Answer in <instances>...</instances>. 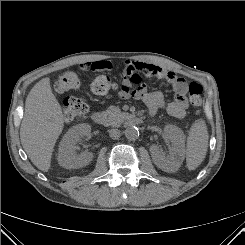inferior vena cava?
<instances>
[{
	"mask_svg": "<svg viewBox=\"0 0 245 245\" xmlns=\"http://www.w3.org/2000/svg\"><path fill=\"white\" fill-rule=\"evenodd\" d=\"M120 130L118 129H110L109 130V136L112 138V139H118L120 137Z\"/></svg>",
	"mask_w": 245,
	"mask_h": 245,
	"instance_id": "602c4592",
	"label": "inferior vena cava"
}]
</instances>
